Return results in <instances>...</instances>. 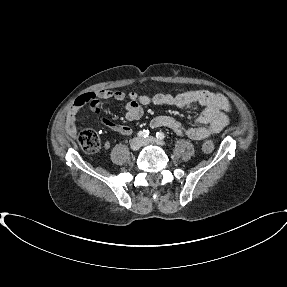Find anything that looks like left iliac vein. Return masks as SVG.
Instances as JSON below:
<instances>
[{
  "mask_svg": "<svg viewBox=\"0 0 287 287\" xmlns=\"http://www.w3.org/2000/svg\"><path fill=\"white\" fill-rule=\"evenodd\" d=\"M142 144L147 145V144H155L159 146L165 145V143L155 137H148L146 139H142Z\"/></svg>",
  "mask_w": 287,
  "mask_h": 287,
  "instance_id": "obj_1",
  "label": "left iliac vein"
}]
</instances>
